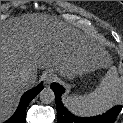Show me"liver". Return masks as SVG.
Returning a JSON list of instances; mask_svg holds the SVG:
<instances>
[{"label": "liver", "mask_w": 123, "mask_h": 123, "mask_svg": "<svg viewBox=\"0 0 123 123\" xmlns=\"http://www.w3.org/2000/svg\"><path fill=\"white\" fill-rule=\"evenodd\" d=\"M103 48L96 39L47 14H25L1 23V123L36 82L37 69L67 78L91 71ZM31 75L29 81L22 73Z\"/></svg>", "instance_id": "liver-1"}]
</instances>
